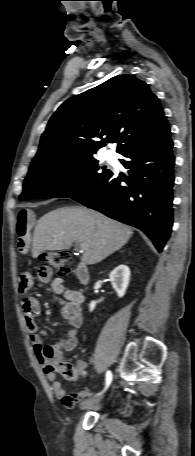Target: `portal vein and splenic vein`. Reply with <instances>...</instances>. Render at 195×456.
Masks as SVG:
<instances>
[{
  "label": "portal vein and splenic vein",
  "instance_id": "1",
  "mask_svg": "<svg viewBox=\"0 0 195 456\" xmlns=\"http://www.w3.org/2000/svg\"><path fill=\"white\" fill-rule=\"evenodd\" d=\"M86 249V246L84 244H80V251H84Z\"/></svg>",
  "mask_w": 195,
  "mask_h": 456
}]
</instances>
